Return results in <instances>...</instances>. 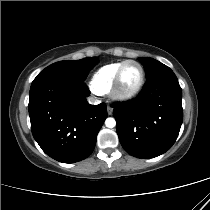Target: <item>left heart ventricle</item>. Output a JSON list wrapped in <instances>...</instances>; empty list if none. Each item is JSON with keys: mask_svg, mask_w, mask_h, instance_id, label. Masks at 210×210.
Segmentation results:
<instances>
[{"mask_svg": "<svg viewBox=\"0 0 210 210\" xmlns=\"http://www.w3.org/2000/svg\"><path fill=\"white\" fill-rule=\"evenodd\" d=\"M140 78V69L136 64H128L122 73V88L127 90L133 88Z\"/></svg>", "mask_w": 210, "mask_h": 210, "instance_id": "1", "label": "left heart ventricle"}]
</instances>
